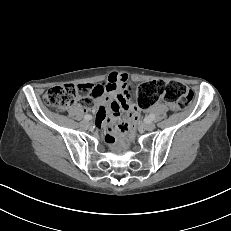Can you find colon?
I'll return each mask as SVG.
<instances>
[{
    "label": "colon",
    "mask_w": 231,
    "mask_h": 231,
    "mask_svg": "<svg viewBox=\"0 0 231 231\" xmlns=\"http://www.w3.org/2000/svg\"><path fill=\"white\" fill-rule=\"evenodd\" d=\"M90 88L85 85L64 84L48 89L43 95L45 105L58 111H64L77 101L89 102ZM193 98L192 92L175 81L153 80L141 83L137 87V104L139 109L150 107L162 99L170 104L173 110L186 109ZM138 119V109L130 112L126 122L116 125V130L131 135L134 123Z\"/></svg>",
    "instance_id": "obj_1"
}]
</instances>
